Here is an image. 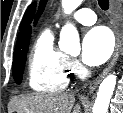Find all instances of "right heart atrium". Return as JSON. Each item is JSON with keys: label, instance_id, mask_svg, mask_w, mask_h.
Returning a JSON list of instances; mask_svg holds the SVG:
<instances>
[{"label": "right heart atrium", "instance_id": "right-heart-atrium-1", "mask_svg": "<svg viewBox=\"0 0 123 113\" xmlns=\"http://www.w3.org/2000/svg\"><path fill=\"white\" fill-rule=\"evenodd\" d=\"M68 66L72 74L80 75L82 73L83 68L78 60L69 58Z\"/></svg>", "mask_w": 123, "mask_h": 113}]
</instances>
